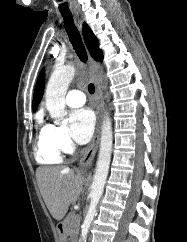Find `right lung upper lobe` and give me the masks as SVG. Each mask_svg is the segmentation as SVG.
<instances>
[{
    "label": "right lung upper lobe",
    "instance_id": "1",
    "mask_svg": "<svg viewBox=\"0 0 187 242\" xmlns=\"http://www.w3.org/2000/svg\"><path fill=\"white\" fill-rule=\"evenodd\" d=\"M83 37L86 43V46L91 54V56L96 61H102L103 55L102 51L99 49V42L95 35L93 34L92 30L89 28V26L86 23H83ZM44 83H45V72L42 70L40 72V75L38 77L34 97H33V109L37 107V105L40 103L42 96H43V89H44Z\"/></svg>",
    "mask_w": 187,
    "mask_h": 242
}]
</instances>
